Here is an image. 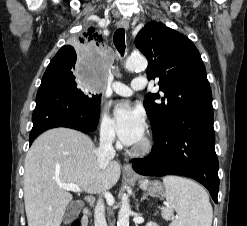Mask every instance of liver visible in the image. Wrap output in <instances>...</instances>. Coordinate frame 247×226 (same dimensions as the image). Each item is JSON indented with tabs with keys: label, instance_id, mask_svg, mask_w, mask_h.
Returning a JSON list of instances; mask_svg holds the SVG:
<instances>
[{
	"label": "liver",
	"instance_id": "obj_1",
	"mask_svg": "<svg viewBox=\"0 0 247 226\" xmlns=\"http://www.w3.org/2000/svg\"><path fill=\"white\" fill-rule=\"evenodd\" d=\"M24 202L28 226H60L72 200L59 183L78 185L89 194L111 189L120 178V165L98 163L93 141L85 134L54 128L40 135L25 159Z\"/></svg>",
	"mask_w": 247,
	"mask_h": 226
}]
</instances>
